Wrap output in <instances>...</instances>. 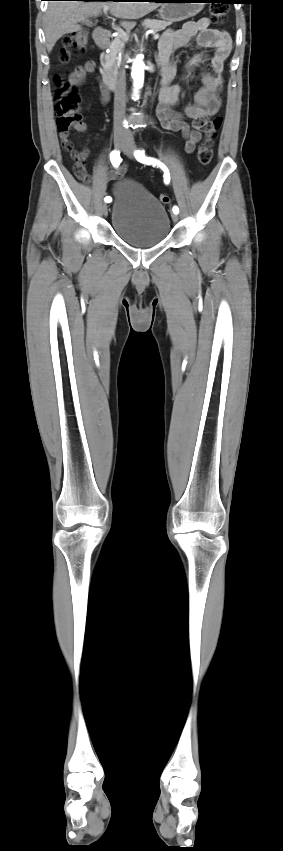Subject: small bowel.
I'll return each mask as SVG.
<instances>
[{
    "instance_id": "1",
    "label": "small bowel",
    "mask_w": 283,
    "mask_h": 851,
    "mask_svg": "<svg viewBox=\"0 0 283 851\" xmlns=\"http://www.w3.org/2000/svg\"><path fill=\"white\" fill-rule=\"evenodd\" d=\"M209 24L210 21L208 18H201L197 21L184 23L180 29L166 30L158 45V59L163 69L159 90V104L156 109L157 116L163 128L182 134L185 140L184 150L188 154L195 151L196 145L202 138L200 130L203 129L208 119L215 115L221 107L219 91L223 85L222 71L232 45L231 38L225 31L209 28ZM193 39H195L199 47L213 49L211 58L212 73H203L201 75L203 86L196 93L194 103L178 110L183 89L180 85L171 83L176 74L174 52L180 47L189 46ZM206 60L207 56L204 54L194 56L186 67L187 77ZM95 69L96 64L94 61H87L84 65L76 66L68 77L69 85L72 88H76L83 82L86 74L93 73ZM100 83V98L106 103L112 98L113 93L109 90V86L105 83L104 79H101ZM186 118L192 120V122L188 123ZM85 128V124L76 127L78 131H84ZM68 135V132L60 133L63 147L75 160V164H82L84 166V162L90 154L89 149L75 150L68 139ZM107 175L112 176L113 173L108 172Z\"/></svg>"
}]
</instances>
